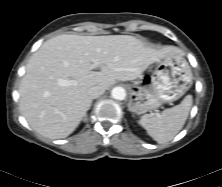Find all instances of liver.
<instances>
[{
    "label": "liver",
    "mask_w": 222,
    "mask_h": 187,
    "mask_svg": "<svg viewBox=\"0 0 222 187\" xmlns=\"http://www.w3.org/2000/svg\"><path fill=\"white\" fill-rule=\"evenodd\" d=\"M176 51L172 46H149L129 35L53 37L27 64L19 86L21 114L40 135L65 138L89 110L91 87L99 85L106 90L116 80H134L150 64ZM60 79L72 84L62 86Z\"/></svg>",
    "instance_id": "liver-1"
}]
</instances>
